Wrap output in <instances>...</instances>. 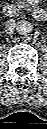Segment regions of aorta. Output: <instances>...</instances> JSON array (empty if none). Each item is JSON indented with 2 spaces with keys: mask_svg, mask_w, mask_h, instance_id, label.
<instances>
[{
  "mask_svg": "<svg viewBox=\"0 0 47 129\" xmlns=\"http://www.w3.org/2000/svg\"><path fill=\"white\" fill-rule=\"evenodd\" d=\"M16 30L19 35L27 36L33 31V25L26 20H21L17 23Z\"/></svg>",
  "mask_w": 47,
  "mask_h": 129,
  "instance_id": "1",
  "label": "aorta"
}]
</instances>
